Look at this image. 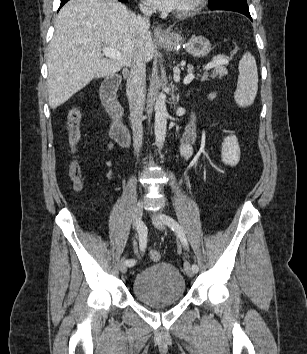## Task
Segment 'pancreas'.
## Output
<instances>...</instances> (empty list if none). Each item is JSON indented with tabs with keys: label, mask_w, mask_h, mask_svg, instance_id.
<instances>
[{
	"label": "pancreas",
	"mask_w": 307,
	"mask_h": 354,
	"mask_svg": "<svg viewBox=\"0 0 307 354\" xmlns=\"http://www.w3.org/2000/svg\"><path fill=\"white\" fill-rule=\"evenodd\" d=\"M192 71H193V66L188 65L187 72L191 73ZM227 74H228V71H227L226 67L224 66V64H219V65L213 66L211 68L207 65L204 67V73L201 77V80H206L209 77L215 78L217 76L222 78Z\"/></svg>",
	"instance_id": "1"
}]
</instances>
